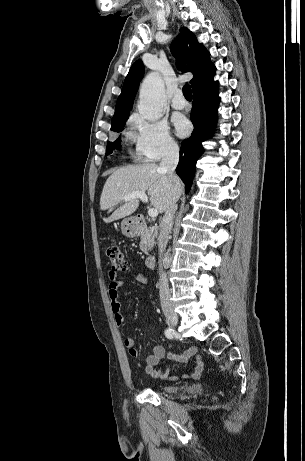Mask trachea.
<instances>
[{
	"mask_svg": "<svg viewBox=\"0 0 305 461\" xmlns=\"http://www.w3.org/2000/svg\"><path fill=\"white\" fill-rule=\"evenodd\" d=\"M183 95L186 99H192V91L189 84L183 87Z\"/></svg>",
	"mask_w": 305,
	"mask_h": 461,
	"instance_id": "trachea-1",
	"label": "trachea"
}]
</instances>
